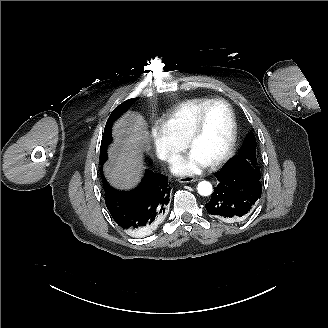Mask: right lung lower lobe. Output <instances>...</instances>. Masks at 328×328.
<instances>
[{"label":"right lung lower lobe","mask_w":328,"mask_h":328,"mask_svg":"<svg viewBox=\"0 0 328 328\" xmlns=\"http://www.w3.org/2000/svg\"><path fill=\"white\" fill-rule=\"evenodd\" d=\"M104 191L106 206L118 226L140 231L164 214L170 201L171 188L165 175L147 170L134 191L120 192L111 188L106 180Z\"/></svg>","instance_id":"98d812e1"}]
</instances>
